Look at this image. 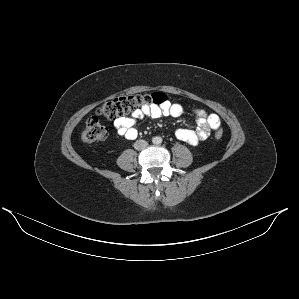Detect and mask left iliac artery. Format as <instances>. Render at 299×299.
Here are the masks:
<instances>
[{
	"label": "left iliac artery",
	"instance_id": "1",
	"mask_svg": "<svg viewBox=\"0 0 299 299\" xmlns=\"http://www.w3.org/2000/svg\"><path fill=\"white\" fill-rule=\"evenodd\" d=\"M158 143L159 144L162 143V139L161 138L158 139Z\"/></svg>",
	"mask_w": 299,
	"mask_h": 299
}]
</instances>
